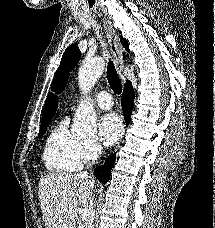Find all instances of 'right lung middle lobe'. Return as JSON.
<instances>
[{"mask_svg":"<svg viewBox=\"0 0 215 228\" xmlns=\"http://www.w3.org/2000/svg\"><path fill=\"white\" fill-rule=\"evenodd\" d=\"M50 123H44V124H41V128H40V133H39V138H41L44 133L46 132L47 130V127L49 126Z\"/></svg>","mask_w":215,"mask_h":228,"instance_id":"1","label":"right lung middle lobe"}]
</instances>
